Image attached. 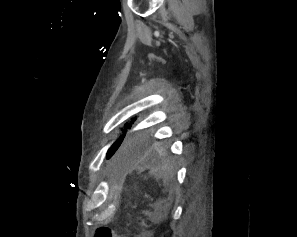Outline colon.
I'll return each mask as SVG.
<instances>
[{
    "label": "colon",
    "instance_id": "obj_1",
    "mask_svg": "<svg viewBox=\"0 0 297 237\" xmlns=\"http://www.w3.org/2000/svg\"><path fill=\"white\" fill-rule=\"evenodd\" d=\"M95 237H127V236L116 234L108 227H100L96 230ZM142 237H148V236L143 235Z\"/></svg>",
    "mask_w": 297,
    "mask_h": 237
}]
</instances>
